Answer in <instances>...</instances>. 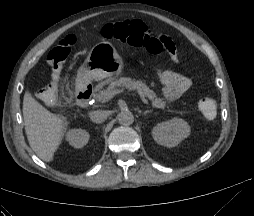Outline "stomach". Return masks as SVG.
<instances>
[{
	"mask_svg": "<svg viewBox=\"0 0 254 216\" xmlns=\"http://www.w3.org/2000/svg\"><path fill=\"white\" fill-rule=\"evenodd\" d=\"M124 67V60L112 43L101 41L89 51L86 60L77 71V78L83 81L101 80L118 75Z\"/></svg>",
	"mask_w": 254,
	"mask_h": 216,
	"instance_id": "1",
	"label": "stomach"
}]
</instances>
